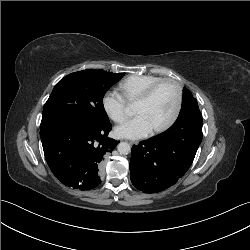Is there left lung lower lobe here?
<instances>
[{
	"mask_svg": "<svg viewBox=\"0 0 250 250\" xmlns=\"http://www.w3.org/2000/svg\"><path fill=\"white\" fill-rule=\"evenodd\" d=\"M202 140V119L176 120L164 133L132 147L130 179L145 193L174 185L191 166Z\"/></svg>",
	"mask_w": 250,
	"mask_h": 250,
	"instance_id": "1",
	"label": "left lung lower lobe"
}]
</instances>
